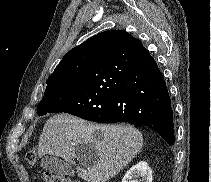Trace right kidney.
<instances>
[{
	"instance_id": "1",
	"label": "right kidney",
	"mask_w": 211,
	"mask_h": 182,
	"mask_svg": "<svg viewBox=\"0 0 211 182\" xmlns=\"http://www.w3.org/2000/svg\"><path fill=\"white\" fill-rule=\"evenodd\" d=\"M122 182H152V170L147 162L140 161L127 171Z\"/></svg>"
}]
</instances>
